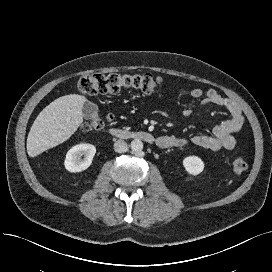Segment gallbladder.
I'll list each match as a JSON object with an SVG mask.
<instances>
[{
  "label": "gallbladder",
  "instance_id": "gallbladder-1",
  "mask_svg": "<svg viewBox=\"0 0 272 272\" xmlns=\"http://www.w3.org/2000/svg\"><path fill=\"white\" fill-rule=\"evenodd\" d=\"M83 117L85 119H93L97 112H98V106L94 104L93 102L86 101L83 105Z\"/></svg>",
  "mask_w": 272,
  "mask_h": 272
}]
</instances>
